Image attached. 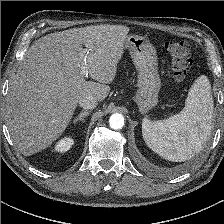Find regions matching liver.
Returning a JSON list of instances; mask_svg holds the SVG:
<instances>
[{
	"label": "liver",
	"instance_id": "liver-1",
	"mask_svg": "<svg viewBox=\"0 0 224 224\" xmlns=\"http://www.w3.org/2000/svg\"><path fill=\"white\" fill-rule=\"evenodd\" d=\"M128 33L122 25L87 26L48 34L30 46L10 83L6 113L11 138L23 155L51 146L80 99L108 96ZM82 45L88 50L89 76L97 82L80 73Z\"/></svg>",
	"mask_w": 224,
	"mask_h": 224
}]
</instances>
